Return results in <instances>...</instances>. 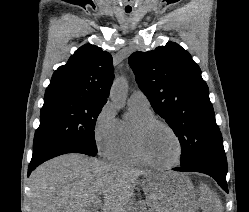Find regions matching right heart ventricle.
<instances>
[{
  "label": "right heart ventricle",
  "mask_w": 249,
  "mask_h": 212,
  "mask_svg": "<svg viewBox=\"0 0 249 212\" xmlns=\"http://www.w3.org/2000/svg\"><path fill=\"white\" fill-rule=\"evenodd\" d=\"M129 106L133 115V120L130 123L121 121L117 123V141L111 150L109 158L118 163L141 165L143 163L137 157L134 149L132 129L136 122L152 118L154 117V113L150 108L144 109L130 104Z\"/></svg>",
  "instance_id": "obj_1"
}]
</instances>
